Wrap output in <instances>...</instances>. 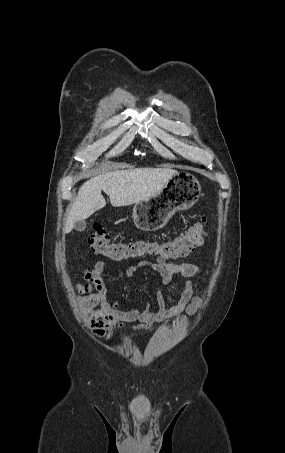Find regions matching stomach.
<instances>
[{
  "mask_svg": "<svg viewBox=\"0 0 285 453\" xmlns=\"http://www.w3.org/2000/svg\"><path fill=\"white\" fill-rule=\"evenodd\" d=\"M200 193L197 178L187 172H177L158 193L134 205V224L144 231L159 230L177 211L192 207Z\"/></svg>",
  "mask_w": 285,
  "mask_h": 453,
  "instance_id": "obj_1",
  "label": "stomach"
}]
</instances>
